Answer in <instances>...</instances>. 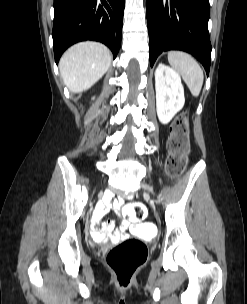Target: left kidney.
Wrapping results in <instances>:
<instances>
[{"label":"left kidney","mask_w":247,"mask_h":304,"mask_svg":"<svg viewBox=\"0 0 247 304\" xmlns=\"http://www.w3.org/2000/svg\"><path fill=\"white\" fill-rule=\"evenodd\" d=\"M156 109L161 123L167 124L185 103L180 75L169 66L159 63L155 71Z\"/></svg>","instance_id":"5707ae66"}]
</instances>
